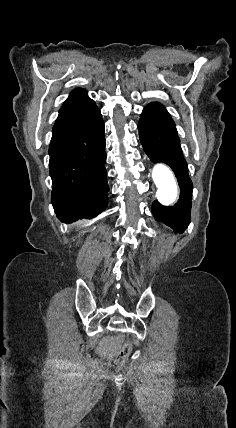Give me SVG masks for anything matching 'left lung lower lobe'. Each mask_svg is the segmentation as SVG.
<instances>
[{"label":"left lung lower lobe","instance_id":"0a47b994","mask_svg":"<svg viewBox=\"0 0 236 428\" xmlns=\"http://www.w3.org/2000/svg\"><path fill=\"white\" fill-rule=\"evenodd\" d=\"M138 129L141 144L148 157L153 163L163 162L169 165L180 187V198L174 206L166 207L158 201L153 202L152 213L155 220L162 221L176 233L183 232L191 219L193 186L175 123L163 105L152 102L144 108Z\"/></svg>","mask_w":236,"mask_h":428}]
</instances>
